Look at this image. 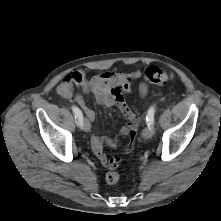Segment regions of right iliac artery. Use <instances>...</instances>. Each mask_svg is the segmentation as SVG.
I'll return each mask as SVG.
<instances>
[{"mask_svg": "<svg viewBox=\"0 0 221 221\" xmlns=\"http://www.w3.org/2000/svg\"><path fill=\"white\" fill-rule=\"evenodd\" d=\"M72 110H73V113H74V115H75V118L77 119V124L79 125V126H82V120H83V115H82V112H81V110L78 108V107H76V106H73L72 107Z\"/></svg>", "mask_w": 221, "mask_h": 221, "instance_id": "obj_1", "label": "right iliac artery"}]
</instances>
